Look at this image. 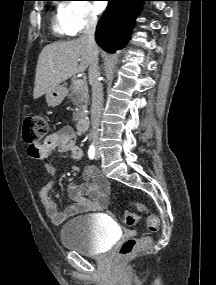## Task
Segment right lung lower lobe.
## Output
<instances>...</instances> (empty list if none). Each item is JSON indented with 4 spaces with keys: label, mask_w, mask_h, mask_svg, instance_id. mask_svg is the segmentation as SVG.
Returning <instances> with one entry per match:
<instances>
[{
    "label": "right lung lower lobe",
    "mask_w": 216,
    "mask_h": 285,
    "mask_svg": "<svg viewBox=\"0 0 216 285\" xmlns=\"http://www.w3.org/2000/svg\"><path fill=\"white\" fill-rule=\"evenodd\" d=\"M109 4L96 27V42L108 53L120 50L127 43L134 17L141 3L154 0H108Z\"/></svg>",
    "instance_id": "98d812e1"
}]
</instances>
